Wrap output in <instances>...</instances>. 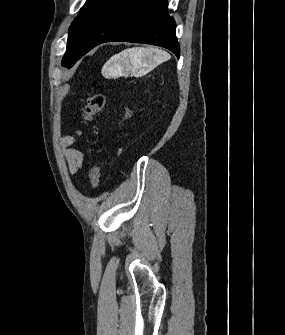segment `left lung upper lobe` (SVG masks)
I'll list each match as a JSON object with an SVG mask.
<instances>
[{
    "mask_svg": "<svg viewBox=\"0 0 285 335\" xmlns=\"http://www.w3.org/2000/svg\"><path fill=\"white\" fill-rule=\"evenodd\" d=\"M111 0H87L81 8L78 17L69 28L67 50L62 60V66L71 67L80 59L81 44L89 27L99 13Z\"/></svg>",
    "mask_w": 285,
    "mask_h": 335,
    "instance_id": "1",
    "label": "left lung upper lobe"
}]
</instances>
